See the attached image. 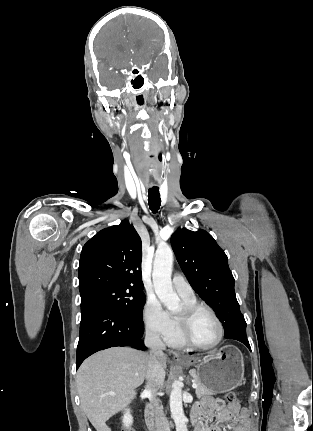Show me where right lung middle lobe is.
Segmentation results:
<instances>
[{
    "label": "right lung middle lobe",
    "instance_id": "obj_1",
    "mask_svg": "<svg viewBox=\"0 0 313 431\" xmlns=\"http://www.w3.org/2000/svg\"><path fill=\"white\" fill-rule=\"evenodd\" d=\"M145 302L143 289L128 285L113 286L81 297V312L96 305H103L117 309L142 322Z\"/></svg>",
    "mask_w": 313,
    "mask_h": 431
}]
</instances>
